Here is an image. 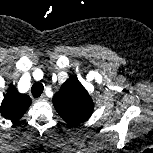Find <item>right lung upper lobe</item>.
I'll return each instance as SVG.
<instances>
[{"label": "right lung upper lobe", "instance_id": "1", "mask_svg": "<svg viewBox=\"0 0 153 153\" xmlns=\"http://www.w3.org/2000/svg\"><path fill=\"white\" fill-rule=\"evenodd\" d=\"M31 102L29 96L20 94L14 86L10 85L0 106V113L4 118L16 123L24 115Z\"/></svg>", "mask_w": 153, "mask_h": 153}]
</instances>
